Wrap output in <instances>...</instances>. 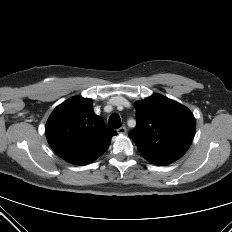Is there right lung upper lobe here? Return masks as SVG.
I'll use <instances>...</instances> for the list:
<instances>
[{"mask_svg": "<svg viewBox=\"0 0 232 232\" xmlns=\"http://www.w3.org/2000/svg\"><path fill=\"white\" fill-rule=\"evenodd\" d=\"M116 134L94 113L91 99L79 96L57 106L46 124L51 148L64 160L79 165L101 156Z\"/></svg>", "mask_w": 232, "mask_h": 232, "instance_id": "1", "label": "right lung upper lobe"}]
</instances>
